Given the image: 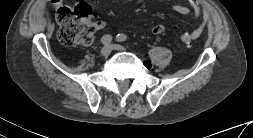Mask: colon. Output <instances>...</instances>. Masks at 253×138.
I'll return each instance as SVG.
<instances>
[{
    "label": "colon",
    "mask_w": 253,
    "mask_h": 138,
    "mask_svg": "<svg viewBox=\"0 0 253 138\" xmlns=\"http://www.w3.org/2000/svg\"><path fill=\"white\" fill-rule=\"evenodd\" d=\"M91 14L90 6L85 3L59 8L56 14L59 40L66 46L90 44L95 31V26L90 21ZM198 36L194 32L182 33L180 39L183 44L190 45Z\"/></svg>",
    "instance_id": "obj_1"
}]
</instances>
